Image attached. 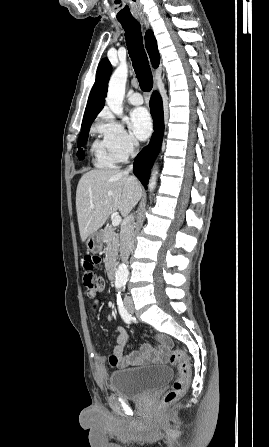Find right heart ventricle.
I'll use <instances>...</instances> for the list:
<instances>
[{"instance_id": "1", "label": "right heart ventricle", "mask_w": 269, "mask_h": 447, "mask_svg": "<svg viewBox=\"0 0 269 447\" xmlns=\"http://www.w3.org/2000/svg\"><path fill=\"white\" fill-rule=\"evenodd\" d=\"M93 162L96 167H114L118 161L105 139L96 140L92 145Z\"/></svg>"}]
</instances>
